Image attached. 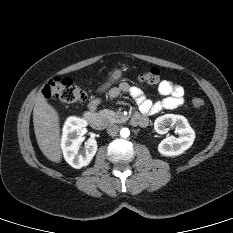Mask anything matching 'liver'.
<instances>
[{
  "mask_svg": "<svg viewBox=\"0 0 233 233\" xmlns=\"http://www.w3.org/2000/svg\"><path fill=\"white\" fill-rule=\"evenodd\" d=\"M33 123L36 140L41 152L50 161L60 163L62 151L59 116L41 92L35 98Z\"/></svg>",
  "mask_w": 233,
  "mask_h": 233,
  "instance_id": "1",
  "label": "liver"
}]
</instances>
